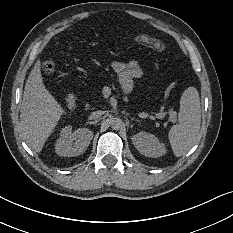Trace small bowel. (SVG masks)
<instances>
[{
	"label": "small bowel",
	"instance_id": "obj_1",
	"mask_svg": "<svg viewBox=\"0 0 233 233\" xmlns=\"http://www.w3.org/2000/svg\"><path fill=\"white\" fill-rule=\"evenodd\" d=\"M111 67L117 73L119 83L125 94L131 93L134 87V80L143 76L142 67L135 60L128 62L114 61Z\"/></svg>",
	"mask_w": 233,
	"mask_h": 233
}]
</instances>
